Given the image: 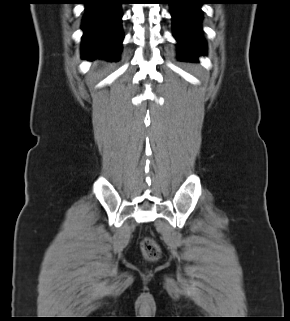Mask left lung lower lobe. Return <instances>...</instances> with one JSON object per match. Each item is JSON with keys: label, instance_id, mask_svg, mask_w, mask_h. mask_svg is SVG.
Masks as SVG:
<instances>
[{"label": "left lung lower lobe", "instance_id": "1", "mask_svg": "<svg viewBox=\"0 0 290 321\" xmlns=\"http://www.w3.org/2000/svg\"><path fill=\"white\" fill-rule=\"evenodd\" d=\"M205 3L207 0H169L174 37L185 61H196L199 55L205 53L206 46L200 32V6Z\"/></svg>", "mask_w": 290, "mask_h": 321}]
</instances>
